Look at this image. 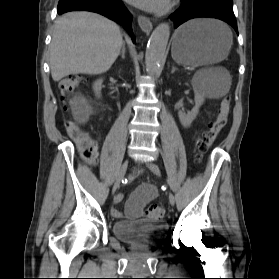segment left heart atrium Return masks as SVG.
Here are the masks:
<instances>
[{"label":"left heart atrium","instance_id":"left-heart-atrium-1","mask_svg":"<svg viewBox=\"0 0 279 279\" xmlns=\"http://www.w3.org/2000/svg\"><path fill=\"white\" fill-rule=\"evenodd\" d=\"M129 3L138 6L147 11H162L170 3V0H126Z\"/></svg>","mask_w":279,"mask_h":279}]
</instances>
